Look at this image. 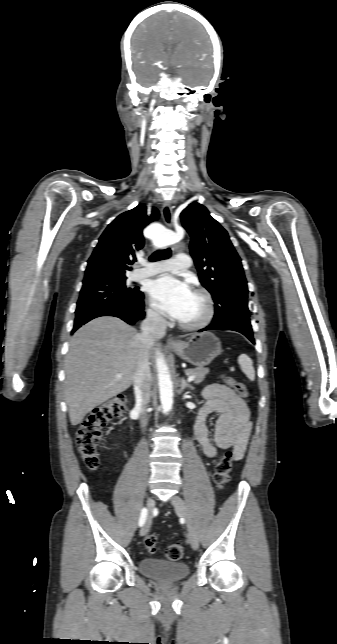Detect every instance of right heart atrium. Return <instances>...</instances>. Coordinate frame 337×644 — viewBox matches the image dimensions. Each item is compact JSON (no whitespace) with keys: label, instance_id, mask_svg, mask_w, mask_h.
Here are the masks:
<instances>
[{"label":"right heart atrium","instance_id":"obj_1","mask_svg":"<svg viewBox=\"0 0 337 644\" xmlns=\"http://www.w3.org/2000/svg\"><path fill=\"white\" fill-rule=\"evenodd\" d=\"M148 319L156 324L161 323L163 320L161 315L152 308L148 310Z\"/></svg>","mask_w":337,"mask_h":644}]
</instances>
